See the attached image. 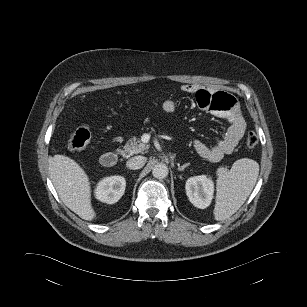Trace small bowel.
Segmentation results:
<instances>
[{
	"mask_svg": "<svg viewBox=\"0 0 307 307\" xmlns=\"http://www.w3.org/2000/svg\"><path fill=\"white\" fill-rule=\"evenodd\" d=\"M181 90L186 94L195 95L196 102L201 108L210 110L229 124L226 133L217 138L212 146L195 140L193 146L196 152L211 162L219 161L224 155L232 153L246 129V123L237 107L236 99L226 92H210L196 84H184ZM162 109L165 113L171 114L176 111L177 104L174 100L167 99L162 103Z\"/></svg>",
	"mask_w": 307,
	"mask_h": 307,
	"instance_id": "1",
	"label": "small bowel"
}]
</instances>
